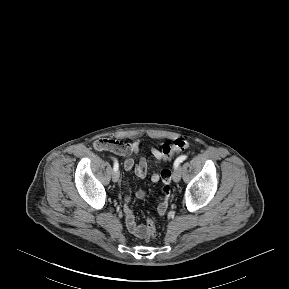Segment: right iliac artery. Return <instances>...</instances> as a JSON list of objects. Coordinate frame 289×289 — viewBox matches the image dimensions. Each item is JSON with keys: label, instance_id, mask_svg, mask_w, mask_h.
I'll return each instance as SVG.
<instances>
[{"label": "right iliac artery", "instance_id": "right-iliac-artery-1", "mask_svg": "<svg viewBox=\"0 0 289 289\" xmlns=\"http://www.w3.org/2000/svg\"><path fill=\"white\" fill-rule=\"evenodd\" d=\"M113 169H114V171H117L119 169V164H118L117 160H115V162H114Z\"/></svg>", "mask_w": 289, "mask_h": 289}]
</instances>
